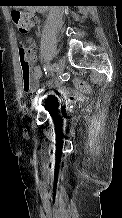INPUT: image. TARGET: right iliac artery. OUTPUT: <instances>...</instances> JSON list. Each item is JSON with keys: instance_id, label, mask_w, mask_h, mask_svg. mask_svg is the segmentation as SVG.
I'll list each match as a JSON object with an SVG mask.
<instances>
[{"instance_id": "1", "label": "right iliac artery", "mask_w": 122, "mask_h": 218, "mask_svg": "<svg viewBox=\"0 0 122 218\" xmlns=\"http://www.w3.org/2000/svg\"><path fill=\"white\" fill-rule=\"evenodd\" d=\"M48 69L50 71H54V65L48 66ZM42 89H39L38 92H40Z\"/></svg>"}]
</instances>
